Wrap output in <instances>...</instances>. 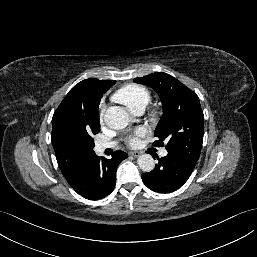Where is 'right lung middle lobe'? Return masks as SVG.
Wrapping results in <instances>:
<instances>
[{
    "label": "right lung middle lobe",
    "instance_id": "1",
    "mask_svg": "<svg viewBox=\"0 0 257 257\" xmlns=\"http://www.w3.org/2000/svg\"><path fill=\"white\" fill-rule=\"evenodd\" d=\"M98 106H99V102L96 105V111L98 110ZM99 131H100V124H99V119H97V124H96L95 129L93 130V132L91 134H88L86 137V141L91 147H94V140L92 138V135L97 134Z\"/></svg>",
    "mask_w": 257,
    "mask_h": 257
}]
</instances>
